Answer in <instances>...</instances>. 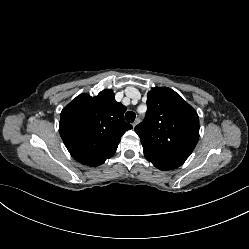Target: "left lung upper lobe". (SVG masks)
<instances>
[{
  "instance_id": "left-lung-upper-lobe-1",
  "label": "left lung upper lobe",
  "mask_w": 249,
  "mask_h": 249,
  "mask_svg": "<svg viewBox=\"0 0 249 249\" xmlns=\"http://www.w3.org/2000/svg\"><path fill=\"white\" fill-rule=\"evenodd\" d=\"M147 116L135 127L147 160L160 170L181 166L199 139V117L183 98L167 87L147 95Z\"/></svg>"
}]
</instances>
